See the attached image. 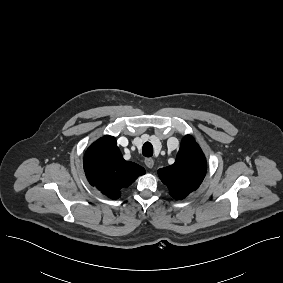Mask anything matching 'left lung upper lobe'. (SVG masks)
Masks as SVG:
<instances>
[{
	"mask_svg": "<svg viewBox=\"0 0 283 283\" xmlns=\"http://www.w3.org/2000/svg\"><path fill=\"white\" fill-rule=\"evenodd\" d=\"M205 174V156L190 135L183 138L175 163L158 170L159 178L175 199H183L196 190Z\"/></svg>",
	"mask_w": 283,
	"mask_h": 283,
	"instance_id": "obj_1",
	"label": "left lung upper lobe"
}]
</instances>
